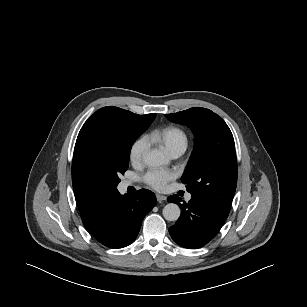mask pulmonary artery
I'll return each instance as SVG.
<instances>
[{
    "label": "pulmonary artery",
    "instance_id": "e3ab8cb5",
    "mask_svg": "<svg viewBox=\"0 0 307 307\" xmlns=\"http://www.w3.org/2000/svg\"><path fill=\"white\" fill-rule=\"evenodd\" d=\"M182 154H183V151H176V152L172 153L171 155H172L173 158H178ZM129 185H130V182H128V181L123 183L124 188L128 187ZM190 199H191V195L190 194L186 195V200L189 201Z\"/></svg>",
    "mask_w": 307,
    "mask_h": 307
}]
</instances>
